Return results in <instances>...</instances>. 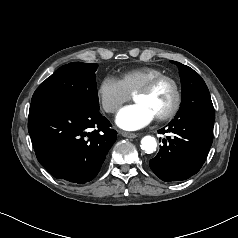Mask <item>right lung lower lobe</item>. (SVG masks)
I'll return each mask as SVG.
<instances>
[{
  "instance_id": "right-lung-lower-lobe-1",
  "label": "right lung lower lobe",
  "mask_w": 238,
  "mask_h": 238,
  "mask_svg": "<svg viewBox=\"0 0 238 238\" xmlns=\"http://www.w3.org/2000/svg\"><path fill=\"white\" fill-rule=\"evenodd\" d=\"M99 110L71 102H31L28 131L40 164L55 178L84 184L117 138Z\"/></svg>"
}]
</instances>
